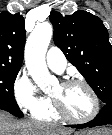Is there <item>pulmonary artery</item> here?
Instances as JSON below:
<instances>
[{
	"label": "pulmonary artery",
	"instance_id": "pulmonary-artery-1",
	"mask_svg": "<svg viewBox=\"0 0 112 135\" xmlns=\"http://www.w3.org/2000/svg\"><path fill=\"white\" fill-rule=\"evenodd\" d=\"M46 62L51 70L62 73L66 68V58L61 49L56 46L49 48L46 54Z\"/></svg>",
	"mask_w": 112,
	"mask_h": 135
}]
</instances>
